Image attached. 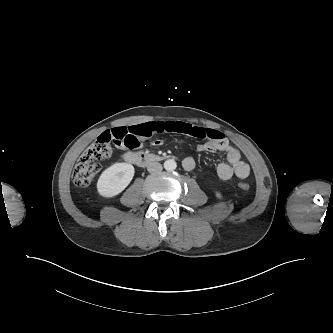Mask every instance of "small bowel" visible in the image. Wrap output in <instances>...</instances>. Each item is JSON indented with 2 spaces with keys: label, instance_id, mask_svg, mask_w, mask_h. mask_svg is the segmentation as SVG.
Segmentation results:
<instances>
[{
  "label": "small bowel",
  "instance_id": "1",
  "mask_svg": "<svg viewBox=\"0 0 333 333\" xmlns=\"http://www.w3.org/2000/svg\"><path fill=\"white\" fill-rule=\"evenodd\" d=\"M164 133H179L206 139V142L196 146L198 152H221L226 157V162H222L217 167V174L222 180H229L233 176L240 179L246 178L250 173L249 165L241 159V154L237 148L232 146L226 137L217 130L206 129L180 121H153L137 124L129 127H116L103 132L99 138L106 139L120 150L137 149L142 146L145 139ZM161 139H155L153 146H160ZM183 167L187 171L195 168L193 157H186L183 160Z\"/></svg>",
  "mask_w": 333,
  "mask_h": 333
}]
</instances>
